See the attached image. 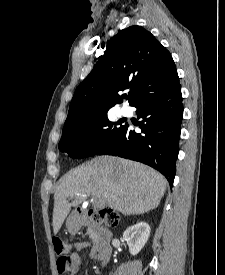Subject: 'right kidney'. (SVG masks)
Masks as SVG:
<instances>
[{"label": "right kidney", "mask_w": 225, "mask_h": 275, "mask_svg": "<svg viewBox=\"0 0 225 275\" xmlns=\"http://www.w3.org/2000/svg\"><path fill=\"white\" fill-rule=\"evenodd\" d=\"M150 230V226L146 222H139L129 227L123 233V238L127 242L132 255L138 254L145 246L150 235Z\"/></svg>", "instance_id": "obj_1"}]
</instances>
